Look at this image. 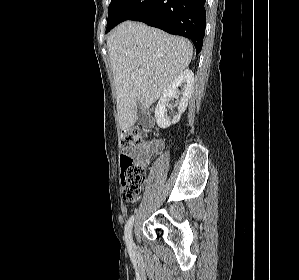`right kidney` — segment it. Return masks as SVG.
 I'll return each instance as SVG.
<instances>
[{
  "label": "right kidney",
  "mask_w": 299,
  "mask_h": 280,
  "mask_svg": "<svg viewBox=\"0 0 299 280\" xmlns=\"http://www.w3.org/2000/svg\"><path fill=\"white\" fill-rule=\"evenodd\" d=\"M181 84L185 85V89L183 92L178 91V86H180ZM193 85L194 73L191 70L186 69L175 78V80L163 93L155 109L156 122L160 128L165 129L170 125L179 122L182 113L185 112L188 106V100L191 97ZM179 95H181V98L179 101L178 114L171 121V119L167 116L166 106L170 98L178 99Z\"/></svg>",
  "instance_id": "obj_1"
}]
</instances>
